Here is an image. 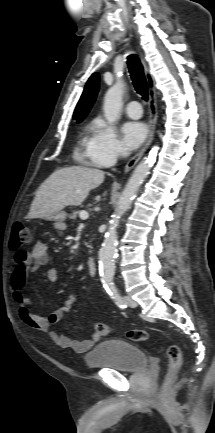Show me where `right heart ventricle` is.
I'll use <instances>...</instances> for the list:
<instances>
[{
  "label": "right heart ventricle",
  "mask_w": 215,
  "mask_h": 433,
  "mask_svg": "<svg viewBox=\"0 0 215 433\" xmlns=\"http://www.w3.org/2000/svg\"><path fill=\"white\" fill-rule=\"evenodd\" d=\"M90 138L91 137H89L88 134H85L84 137L82 138L81 149L77 150L78 157H80V158L85 157V156L88 157L87 156V149H88V146L90 143ZM82 149H83V151H82Z\"/></svg>",
  "instance_id": "1"
}]
</instances>
